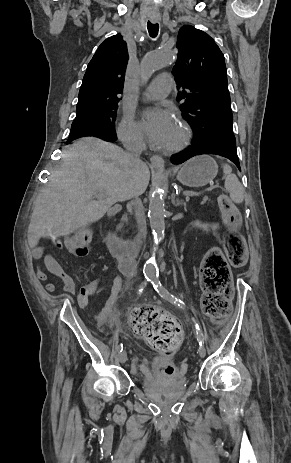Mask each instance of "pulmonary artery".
Returning a JSON list of instances; mask_svg holds the SVG:
<instances>
[{
	"label": "pulmonary artery",
	"mask_w": 291,
	"mask_h": 463,
	"mask_svg": "<svg viewBox=\"0 0 291 463\" xmlns=\"http://www.w3.org/2000/svg\"><path fill=\"white\" fill-rule=\"evenodd\" d=\"M174 86V80L169 74L157 76L144 92L147 100H158L167 97Z\"/></svg>",
	"instance_id": "pulmonary-artery-1"
}]
</instances>
